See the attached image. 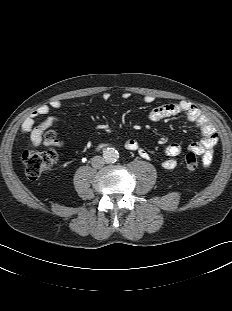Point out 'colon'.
<instances>
[{
  "label": "colon",
  "mask_w": 232,
  "mask_h": 311,
  "mask_svg": "<svg viewBox=\"0 0 232 311\" xmlns=\"http://www.w3.org/2000/svg\"><path fill=\"white\" fill-rule=\"evenodd\" d=\"M47 138H53V135L49 133ZM57 160L58 154L53 149L46 151L26 150L22 156L25 174L30 180L38 179L44 172L51 169ZM185 164L188 169H196L199 165L197 154L193 151H188L185 155Z\"/></svg>",
  "instance_id": "colon-1"
}]
</instances>
